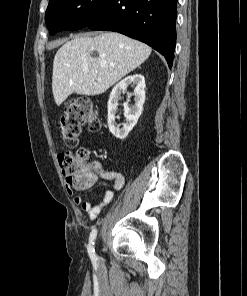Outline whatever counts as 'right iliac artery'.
<instances>
[{
	"label": "right iliac artery",
	"instance_id": "82829eb1",
	"mask_svg": "<svg viewBox=\"0 0 247 296\" xmlns=\"http://www.w3.org/2000/svg\"><path fill=\"white\" fill-rule=\"evenodd\" d=\"M97 235V230L96 228H94L92 230V232L90 233V237H89V244H88V254L91 258V260H96V254H95V249H94V240L96 238Z\"/></svg>",
	"mask_w": 247,
	"mask_h": 296
}]
</instances>
